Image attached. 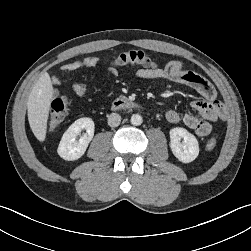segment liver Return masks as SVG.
<instances>
[{"label": "liver", "instance_id": "liver-1", "mask_svg": "<svg viewBox=\"0 0 251 251\" xmlns=\"http://www.w3.org/2000/svg\"><path fill=\"white\" fill-rule=\"evenodd\" d=\"M52 81L47 72L42 74L33 86L27 101L30 128L34 136L43 142L47 133V121L53 98Z\"/></svg>", "mask_w": 251, "mask_h": 251}]
</instances>
